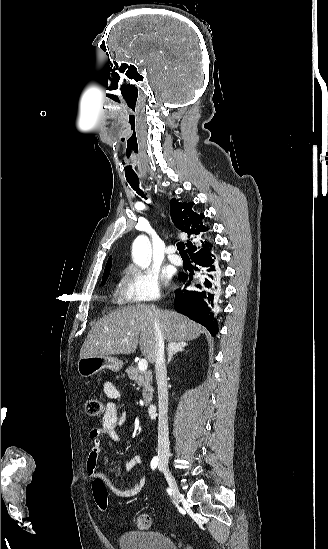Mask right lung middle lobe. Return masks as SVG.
Wrapping results in <instances>:
<instances>
[{
  "label": "right lung middle lobe",
  "instance_id": "1",
  "mask_svg": "<svg viewBox=\"0 0 328 549\" xmlns=\"http://www.w3.org/2000/svg\"><path fill=\"white\" fill-rule=\"evenodd\" d=\"M109 273H110V271H108V272L104 273V275H103V278H102V284H104V283L106 282V280H107V278H108V275H109Z\"/></svg>",
  "mask_w": 328,
  "mask_h": 549
}]
</instances>
